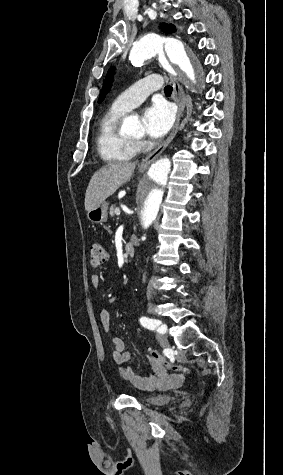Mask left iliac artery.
<instances>
[{"label":"left iliac artery","mask_w":283,"mask_h":475,"mask_svg":"<svg viewBox=\"0 0 283 475\" xmlns=\"http://www.w3.org/2000/svg\"><path fill=\"white\" fill-rule=\"evenodd\" d=\"M140 323H141L142 326H144L148 329L154 330L161 324V321L155 320V319H150V318H147V317H141L140 318ZM158 331L160 333H165L166 329H165L164 326H159Z\"/></svg>","instance_id":"44dca946"}]
</instances>
